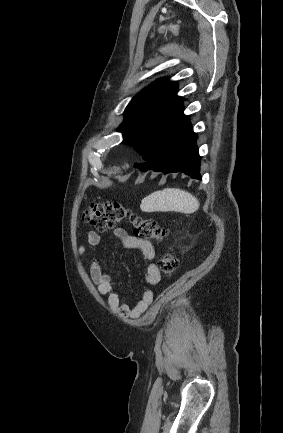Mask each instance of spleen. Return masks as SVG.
Masks as SVG:
<instances>
[{
	"label": "spleen",
	"mask_w": 283,
	"mask_h": 433,
	"mask_svg": "<svg viewBox=\"0 0 283 433\" xmlns=\"http://www.w3.org/2000/svg\"><path fill=\"white\" fill-rule=\"evenodd\" d=\"M140 208L144 212H156V210H175V212H195L198 210L200 204L198 198L193 196L191 192L181 190V188H163V190H156L151 192L149 196H145L141 200Z\"/></svg>",
	"instance_id": "obj_1"
}]
</instances>
